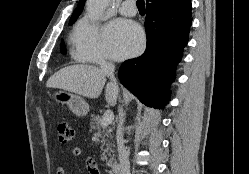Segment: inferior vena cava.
Here are the masks:
<instances>
[{"mask_svg":"<svg viewBox=\"0 0 249 174\" xmlns=\"http://www.w3.org/2000/svg\"><path fill=\"white\" fill-rule=\"evenodd\" d=\"M101 70L110 77L111 82L115 85L118 90V85L116 79L114 77L115 66L111 62L101 61L100 63ZM119 124L117 128V145H118V154L120 161V170L119 174H130V163L128 153L124 147V139H123V123L125 120V113L122 107H119Z\"/></svg>","mask_w":249,"mask_h":174,"instance_id":"602c4592","label":"inferior vena cava"}]
</instances>
